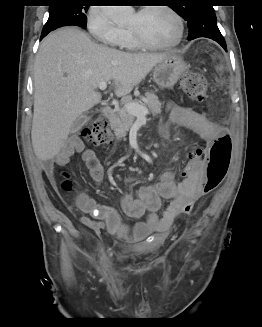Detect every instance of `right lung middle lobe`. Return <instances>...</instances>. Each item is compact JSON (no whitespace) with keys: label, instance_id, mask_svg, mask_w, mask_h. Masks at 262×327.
<instances>
[{"label":"right lung middle lobe","instance_id":"right-lung-middle-lobe-1","mask_svg":"<svg viewBox=\"0 0 262 327\" xmlns=\"http://www.w3.org/2000/svg\"><path fill=\"white\" fill-rule=\"evenodd\" d=\"M56 4L49 7V18L43 31H53L62 26L74 25L85 27L89 6H80L76 0H55Z\"/></svg>","mask_w":262,"mask_h":327}]
</instances>
